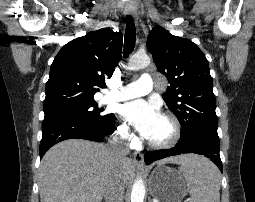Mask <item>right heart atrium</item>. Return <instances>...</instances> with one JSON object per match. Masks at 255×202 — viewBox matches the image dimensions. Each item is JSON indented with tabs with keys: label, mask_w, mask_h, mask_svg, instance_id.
<instances>
[{
	"label": "right heart atrium",
	"mask_w": 255,
	"mask_h": 202,
	"mask_svg": "<svg viewBox=\"0 0 255 202\" xmlns=\"http://www.w3.org/2000/svg\"><path fill=\"white\" fill-rule=\"evenodd\" d=\"M117 133L119 137L127 142H130L133 139V135L129 127L125 123H121L117 128Z\"/></svg>",
	"instance_id": "d8ad5b80"
}]
</instances>
